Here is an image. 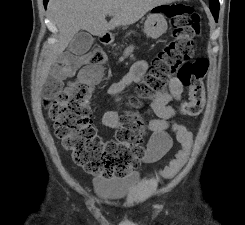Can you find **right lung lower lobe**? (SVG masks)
Wrapping results in <instances>:
<instances>
[{
    "label": "right lung lower lobe",
    "instance_id": "obj_1",
    "mask_svg": "<svg viewBox=\"0 0 245 225\" xmlns=\"http://www.w3.org/2000/svg\"><path fill=\"white\" fill-rule=\"evenodd\" d=\"M48 1H49V0H44V6H45V8H46V6H47Z\"/></svg>",
    "mask_w": 245,
    "mask_h": 225
}]
</instances>
